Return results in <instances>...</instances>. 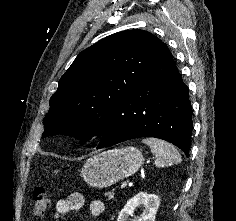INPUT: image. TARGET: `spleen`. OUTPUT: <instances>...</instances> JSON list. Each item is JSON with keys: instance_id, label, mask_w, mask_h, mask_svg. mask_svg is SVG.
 I'll return each mask as SVG.
<instances>
[{"instance_id": "1", "label": "spleen", "mask_w": 236, "mask_h": 221, "mask_svg": "<svg viewBox=\"0 0 236 221\" xmlns=\"http://www.w3.org/2000/svg\"><path fill=\"white\" fill-rule=\"evenodd\" d=\"M142 142L148 145L151 152L156 156L155 165L166 167L181 162V155L178 150L169 142L157 138H145Z\"/></svg>"}]
</instances>
